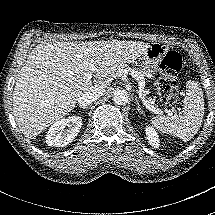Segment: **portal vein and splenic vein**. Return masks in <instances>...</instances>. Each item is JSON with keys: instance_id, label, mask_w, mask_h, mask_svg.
I'll return each instance as SVG.
<instances>
[{"instance_id": "1", "label": "portal vein and splenic vein", "mask_w": 215, "mask_h": 215, "mask_svg": "<svg viewBox=\"0 0 215 215\" xmlns=\"http://www.w3.org/2000/svg\"><path fill=\"white\" fill-rule=\"evenodd\" d=\"M95 71H96V68L91 66V67L88 68L87 72H85V73L83 74V77L86 78V79H88V80H91L92 77H93V73H94ZM132 76H133L135 79L138 80L139 86H140V87H143V85H144V83H143L144 80L140 78V75H139V74H133ZM147 108H148L151 112H154V113H160V112H161L160 109L154 107L153 103L147 104Z\"/></svg>"}]
</instances>
